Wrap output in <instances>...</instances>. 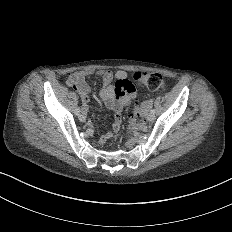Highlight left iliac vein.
<instances>
[{"label":"left iliac vein","instance_id":"4c4485c4","mask_svg":"<svg viewBox=\"0 0 232 232\" xmlns=\"http://www.w3.org/2000/svg\"><path fill=\"white\" fill-rule=\"evenodd\" d=\"M154 118H155V115H154L153 113H149V114L147 115V120H148V121H153Z\"/></svg>","mask_w":232,"mask_h":232}]
</instances>
